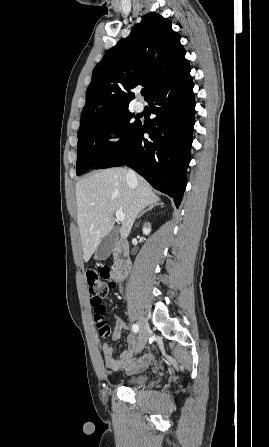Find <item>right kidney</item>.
Returning a JSON list of instances; mask_svg holds the SVG:
<instances>
[{
	"label": "right kidney",
	"mask_w": 269,
	"mask_h": 447,
	"mask_svg": "<svg viewBox=\"0 0 269 447\" xmlns=\"http://www.w3.org/2000/svg\"><path fill=\"white\" fill-rule=\"evenodd\" d=\"M142 231H143V233H145V235H149V233L151 231V224H149V222H145V224L143 225Z\"/></svg>",
	"instance_id": "ca27d5eb"
}]
</instances>
